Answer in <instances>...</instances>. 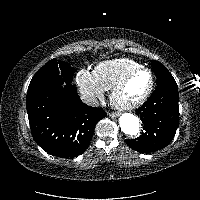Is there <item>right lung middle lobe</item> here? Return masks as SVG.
<instances>
[{
	"instance_id": "right-lung-middle-lobe-1",
	"label": "right lung middle lobe",
	"mask_w": 200,
	"mask_h": 200,
	"mask_svg": "<svg viewBox=\"0 0 200 200\" xmlns=\"http://www.w3.org/2000/svg\"><path fill=\"white\" fill-rule=\"evenodd\" d=\"M75 69L67 62L52 59L33 76L28 90L50 85H68L72 82Z\"/></svg>"
}]
</instances>
